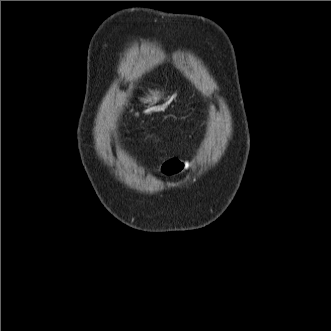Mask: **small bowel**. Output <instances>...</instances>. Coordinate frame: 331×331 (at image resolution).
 Listing matches in <instances>:
<instances>
[{
  "instance_id": "obj_1",
  "label": "small bowel",
  "mask_w": 331,
  "mask_h": 331,
  "mask_svg": "<svg viewBox=\"0 0 331 331\" xmlns=\"http://www.w3.org/2000/svg\"><path fill=\"white\" fill-rule=\"evenodd\" d=\"M193 163L194 159L182 160L178 158H171L163 163L161 171L167 176H175L191 167Z\"/></svg>"
}]
</instances>
